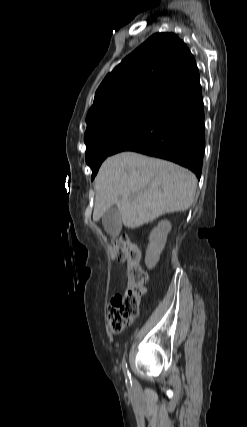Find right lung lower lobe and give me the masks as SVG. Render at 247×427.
Here are the masks:
<instances>
[{
    "mask_svg": "<svg viewBox=\"0 0 247 427\" xmlns=\"http://www.w3.org/2000/svg\"><path fill=\"white\" fill-rule=\"evenodd\" d=\"M204 105L199 80L163 101L112 154L135 151L180 164L201 177L205 150Z\"/></svg>",
    "mask_w": 247,
    "mask_h": 427,
    "instance_id": "98d812e1",
    "label": "right lung lower lobe"
}]
</instances>
